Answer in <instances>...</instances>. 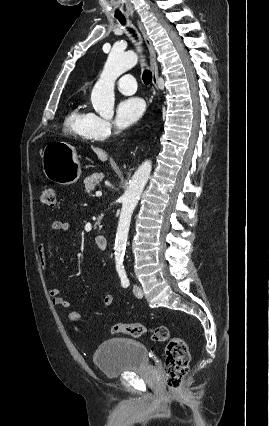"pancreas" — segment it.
I'll return each mask as SVG.
<instances>
[{
    "label": "pancreas",
    "instance_id": "1",
    "mask_svg": "<svg viewBox=\"0 0 269 426\" xmlns=\"http://www.w3.org/2000/svg\"><path fill=\"white\" fill-rule=\"evenodd\" d=\"M103 179V175L101 173H95L91 176L86 177L84 180L85 189L87 193H91L94 191L95 186ZM100 220L96 223V225H99Z\"/></svg>",
    "mask_w": 269,
    "mask_h": 426
}]
</instances>
